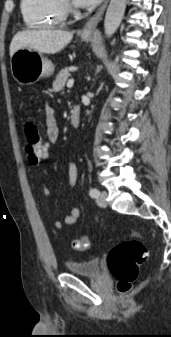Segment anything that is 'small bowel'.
<instances>
[{
  "label": "small bowel",
  "mask_w": 171,
  "mask_h": 337,
  "mask_svg": "<svg viewBox=\"0 0 171 337\" xmlns=\"http://www.w3.org/2000/svg\"><path fill=\"white\" fill-rule=\"evenodd\" d=\"M45 133L49 143H55L59 138L60 130L55 119V111L51 106H47L45 110ZM67 171L70 185L75 186L78 180L77 164L74 161H71L68 164ZM43 195L45 197H48L50 195L49 189L45 186L43 187ZM48 211L50 212L49 208ZM79 216H80L79 208L74 207L65 216L64 223L59 220H56L54 222V227L57 230H62L64 228V224L66 225L74 224L78 220Z\"/></svg>",
  "instance_id": "1"
}]
</instances>
